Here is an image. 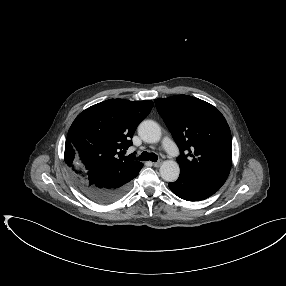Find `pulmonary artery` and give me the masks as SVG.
<instances>
[{
    "label": "pulmonary artery",
    "mask_w": 286,
    "mask_h": 286,
    "mask_svg": "<svg viewBox=\"0 0 286 286\" xmlns=\"http://www.w3.org/2000/svg\"><path fill=\"white\" fill-rule=\"evenodd\" d=\"M162 146L171 158H176L179 155V150L175 143L169 138L165 137L162 141Z\"/></svg>",
    "instance_id": "pulmonary-artery-1"
}]
</instances>
